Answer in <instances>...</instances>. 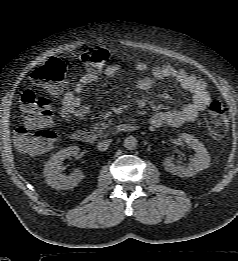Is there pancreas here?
I'll return each instance as SVG.
<instances>
[{"instance_id":"1","label":"pancreas","mask_w":238,"mask_h":261,"mask_svg":"<svg viewBox=\"0 0 238 261\" xmlns=\"http://www.w3.org/2000/svg\"><path fill=\"white\" fill-rule=\"evenodd\" d=\"M110 125V122L108 123H102V122H97L91 127V131L93 132H102L103 130L107 129Z\"/></svg>"}]
</instances>
